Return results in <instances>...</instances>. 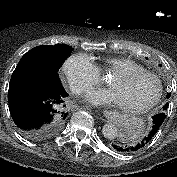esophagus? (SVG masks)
<instances>
[{
    "label": "esophagus",
    "mask_w": 177,
    "mask_h": 177,
    "mask_svg": "<svg viewBox=\"0 0 177 177\" xmlns=\"http://www.w3.org/2000/svg\"><path fill=\"white\" fill-rule=\"evenodd\" d=\"M110 114H111V112H109V111H104V112L102 113V116H103L104 118H107V117L110 116Z\"/></svg>",
    "instance_id": "1"
}]
</instances>
